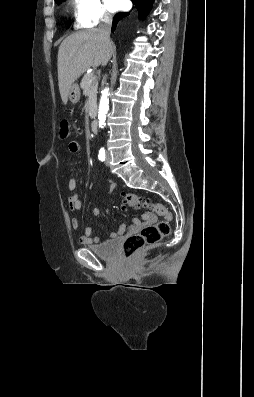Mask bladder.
<instances>
[{
  "instance_id": "1",
  "label": "bladder",
  "mask_w": 254,
  "mask_h": 397,
  "mask_svg": "<svg viewBox=\"0 0 254 397\" xmlns=\"http://www.w3.org/2000/svg\"><path fill=\"white\" fill-rule=\"evenodd\" d=\"M92 253L105 260H114L119 254V241L117 239L106 241L99 245L87 247Z\"/></svg>"
}]
</instances>
